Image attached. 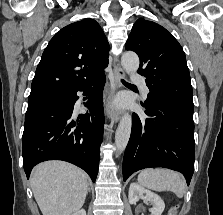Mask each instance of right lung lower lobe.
<instances>
[{
	"instance_id": "right-lung-lower-lobe-1",
	"label": "right lung lower lobe",
	"mask_w": 223,
	"mask_h": 215,
	"mask_svg": "<svg viewBox=\"0 0 223 215\" xmlns=\"http://www.w3.org/2000/svg\"><path fill=\"white\" fill-rule=\"evenodd\" d=\"M105 74L75 90L69 97L28 108L22 136L23 167L27 178L32 168L46 160H64L85 170L95 182L103 138ZM94 86V87H92ZM77 91L89 93V113L74 121Z\"/></svg>"
}]
</instances>
